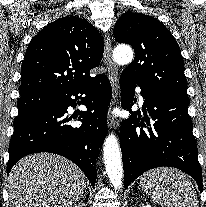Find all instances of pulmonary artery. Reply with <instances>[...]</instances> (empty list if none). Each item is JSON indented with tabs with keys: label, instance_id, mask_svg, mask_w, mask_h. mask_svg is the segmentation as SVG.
Here are the masks:
<instances>
[{
	"label": "pulmonary artery",
	"instance_id": "obj_1",
	"mask_svg": "<svg viewBox=\"0 0 206 207\" xmlns=\"http://www.w3.org/2000/svg\"><path fill=\"white\" fill-rule=\"evenodd\" d=\"M136 91H137V94H138V96H139V100H140V102H141V103H144V99H143V97H142L140 88H137Z\"/></svg>",
	"mask_w": 206,
	"mask_h": 207
}]
</instances>
